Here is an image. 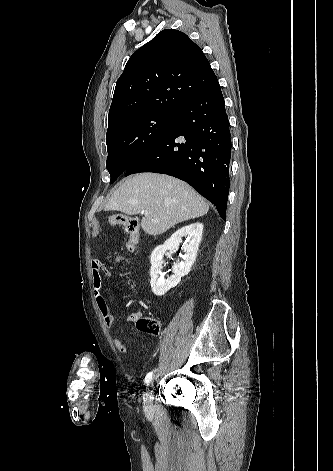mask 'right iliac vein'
Returning <instances> with one entry per match:
<instances>
[{"label":"right iliac vein","instance_id":"right-iliac-vein-1","mask_svg":"<svg viewBox=\"0 0 333 471\" xmlns=\"http://www.w3.org/2000/svg\"><path fill=\"white\" fill-rule=\"evenodd\" d=\"M153 384H147V391L144 397V407L146 410H150L152 407V392H153Z\"/></svg>","mask_w":333,"mask_h":471}]
</instances>
